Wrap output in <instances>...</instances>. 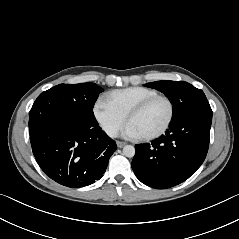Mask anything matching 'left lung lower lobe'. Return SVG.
I'll return each instance as SVG.
<instances>
[{
    "instance_id": "left-lung-lower-lobe-1",
    "label": "left lung lower lobe",
    "mask_w": 239,
    "mask_h": 239,
    "mask_svg": "<svg viewBox=\"0 0 239 239\" xmlns=\"http://www.w3.org/2000/svg\"><path fill=\"white\" fill-rule=\"evenodd\" d=\"M212 111H196L171 121L166 134L136 145L132 169L144 184L166 189L188 179L203 163L210 138Z\"/></svg>"
}]
</instances>
